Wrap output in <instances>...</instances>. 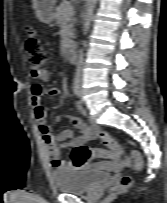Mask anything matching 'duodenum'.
Masks as SVG:
<instances>
[{
    "label": "duodenum",
    "instance_id": "1",
    "mask_svg": "<svg viewBox=\"0 0 167 203\" xmlns=\"http://www.w3.org/2000/svg\"><path fill=\"white\" fill-rule=\"evenodd\" d=\"M66 59L69 62H74L75 61V46L74 45H69L66 49Z\"/></svg>",
    "mask_w": 167,
    "mask_h": 203
}]
</instances>
